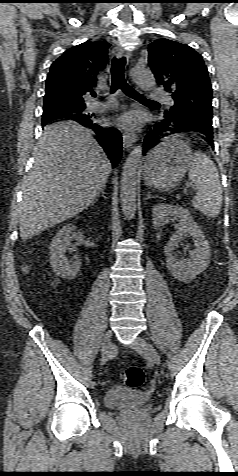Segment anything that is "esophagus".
<instances>
[{
    "instance_id": "1",
    "label": "esophagus",
    "mask_w": 238,
    "mask_h": 476,
    "mask_svg": "<svg viewBox=\"0 0 238 476\" xmlns=\"http://www.w3.org/2000/svg\"><path fill=\"white\" fill-rule=\"evenodd\" d=\"M115 55L118 58L126 56L127 60H129V57H130L129 54H126L125 51L121 47L115 48ZM122 137H123V147L126 149L130 148L137 140V137L134 133L125 132L123 133Z\"/></svg>"
}]
</instances>
